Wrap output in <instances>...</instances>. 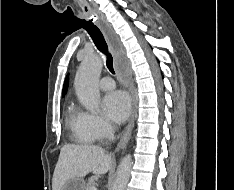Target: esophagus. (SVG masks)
Returning <instances> with one entry per match:
<instances>
[{"label":"esophagus","instance_id":"1","mask_svg":"<svg viewBox=\"0 0 234 190\" xmlns=\"http://www.w3.org/2000/svg\"><path fill=\"white\" fill-rule=\"evenodd\" d=\"M99 26L102 29L109 45L110 48L113 52V54L115 56H117L120 52V43H119V39L117 37V35L115 34V32L113 31V29L102 19L99 20ZM127 84H128V89L131 95V101H132V110H131V116H130V120L128 122V125L126 126L122 137L120 138V141L117 144V147L115 149L116 152L120 151L121 149H123L130 137H131V133H132V129L134 127V121H135V114H136V99H135V91H134V83H133V79L132 76L130 74H128V79H127Z\"/></svg>","mask_w":234,"mask_h":190}]
</instances>
